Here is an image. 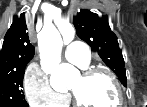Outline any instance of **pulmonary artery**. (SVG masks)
<instances>
[{
  "label": "pulmonary artery",
  "instance_id": "obj_1",
  "mask_svg": "<svg viewBox=\"0 0 147 107\" xmlns=\"http://www.w3.org/2000/svg\"><path fill=\"white\" fill-rule=\"evenodd\" d=\"M65 58L74 65L86 67L90 63V51L86 44L72 42L65 49Z\"/></svg>",
  "mask_w": 147,
  "mask_h": 107
}]
</instances>
